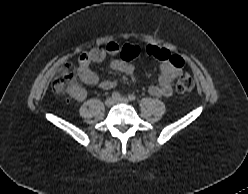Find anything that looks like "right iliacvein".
I'll use <instances>...</instances> for the list:
<instances>
[{
  "instance_id": "1",
  "label": "right iliac vein",
  "mask_w": 248,
  "mask_h": 194,
  "mask_svg": "<svg viewBox=\"0 0 248 194\" xmlns=\"http://www.w3.org/2000/svg\"><path fill=\"white\" fill-rule=\"evenodd\" d=\"M113 104H114V99L113 98L109 97V98H107L105 100L106 107H111V106H113Z\"/></svg>"
}]
</instances>
